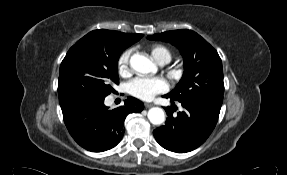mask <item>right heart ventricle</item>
I'll return each instance as SVG.
<instances>
[{
  "mask_svg": "<svg viewBox=\"0 0 287 175\" xmlns=\"http://www.w3.org/2000/svg\"><path fill=\"white\" fill-rule=\"evenodd\" d=\"M150 52H151V55L153 56V58L156 61H158L159 63H161V62L167 63L172 58L171 50L164 45H160V44L153 45L150 48Z\"/></svg>",
  "mask_w": 287,
  "mask_h": 175,
  "instance_id": "obj_1",
  "label": "right heart ventricle"
}]
</instances>
